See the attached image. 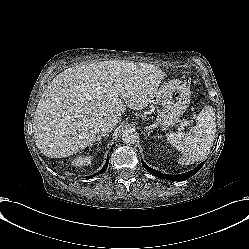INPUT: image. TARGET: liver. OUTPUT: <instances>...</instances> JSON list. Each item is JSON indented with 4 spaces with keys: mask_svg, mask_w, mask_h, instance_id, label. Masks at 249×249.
Masks as SVG:
<instances>
[{
    "mask_svg": "<svg viewBox=\"0 0 249 249\" xmlns=\"http://www.w3.org/2000/svg\"><path fill=\"white\" fill-rule=\"evenodd\" d=\"M162 74L132 64L92 62L61 73L44 91L33 123L37 147L66 157L91 146L101 124L126 107L142 110L154 98Z\"/></svg>",
    "mask_w": 249,
    "mask_h": 249,
    "instance_id": "6515ba94",
    "label": "liver"
}]
</instances>
